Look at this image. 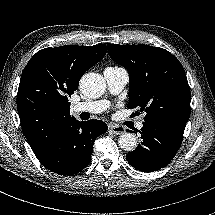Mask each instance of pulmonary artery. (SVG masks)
<instances>
[{
    "label": "pulmonary artery",
    "instance_id": "e3ab8cb5",
    "mask_svg": "<svg viewBox=\"0 0 215 215\" xmlns=\"http://www.w3.org/2000/svg\"><path fill=\"white\" fill-rule=\"evenodd\" d=\"M104 77L107 82L109 91L112 94L119 93L127 84L129 80L128 72L125 68L122 67H107L104 70ZM109 107V102L106 100L100 101H88L77 103L72 106V112L74 114L86 112L90 114H99L104 112ZM136 130L141 131L144 129V118L136 121L134 124Z\"/></svg>",
    "mask_w": 215,
    "mask_h": 215
}]
</instances>
